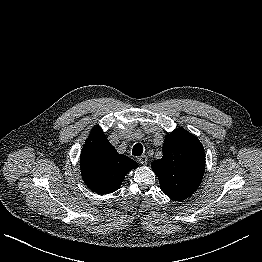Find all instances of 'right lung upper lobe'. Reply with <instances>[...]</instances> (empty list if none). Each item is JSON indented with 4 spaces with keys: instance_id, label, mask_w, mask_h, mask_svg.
<instances>
[{
    "instance_id": "obj_1",
    "label": "right lung upper lobe",
    "mask_w": 262,
    "mask_h": 262,
    "mask_svg": "<svg viewBox=\"0 0 262 262\" xmlns=\"http://www.w3.org/2000/svg\"><path fill=\"white\" fill-rule=\"evenodd\" d=\"M138 163L118 154L100 127L91 131L80 156L83 181L98 194H109L121 186L126 174Z\"/></svg>"
}]
</instances>
